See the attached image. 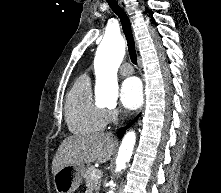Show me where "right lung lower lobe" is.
<instances>
[{"instance_id": "obj_1", "label": "right lung lower lobe", "mask_w": 221, "mask_h": 193, "mask_svg": "<svg viewBox=\"0 0 221 193\" xmlns=\"http://www.w3.org/2000/svg\"><path fill=\"white\" fill-rule=\"evenodd\" d=\"M138 117H139V115H138L132 122H130L127 126H125L124 128L119 129V131H118V133H117L118 137H122V136L124 135L126 129H127L129 126H131V124H132L133 122H135V121L138 119Z\"/></svg>"}]
</instances>
